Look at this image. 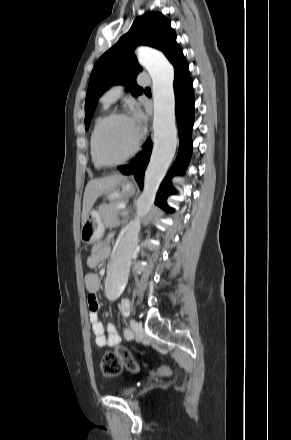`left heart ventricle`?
I'll return each mask as SVG.
<instances>
[{"label": "left heart ventricle", "instance_id": "b2bd125f", "mask_svg": "<svg viewBox=\"0 0 291 440\" xmlns=\"http://www.w3.org/2000/svg\"><path fill=\"white\" fill-rule=\"evenodd\" d=\"M138 133L130 119L117 118L108 122L99 137V151L107 160H120L133 148Z\"/></svg>", "mask_w": 291, "mask_h": 440}]
</instances>
